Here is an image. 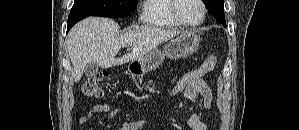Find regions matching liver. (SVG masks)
<instances>
[{
    "mask_svg": "<svg viewBox=\"0 0 299 130\" xmlns=\"http://www.w3.org/2000/svg\"><path fill=\"white\" fill-rule=\"evenodd\" d=\"M179 34V30L150 26L134 27L121 33L119 25L113 19L88 17L78 22L67 37L74 81L77 83L81 80L84 68L89 62L102 68H111L139 60L162 42ZM121 48L131 51L122 58H115Z\"/></svg>",
    "mask_w": 299,
    "mask_h": 130,
    "instance_id": "1",
    "label": "liver"
}]
</instances>
